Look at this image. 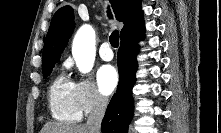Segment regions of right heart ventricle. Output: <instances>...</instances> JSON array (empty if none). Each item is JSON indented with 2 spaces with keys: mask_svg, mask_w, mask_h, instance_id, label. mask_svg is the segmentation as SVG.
<instances>
[{
  "mask_svg": "<svg viewBox=\"0 0 221 133\" xmlns=\"http://www.w3.org/2000/svg\"><path fill=\"white\" fill-rule=\"evenodd\" d=\"M48 103L52 117L63 123L78 122L82 117L75 83L63 75L57 76L48 90Z\"/></svg>",
  "mask_w": 221,
  "mask_h": 133,
  "instance_id": "1",
  "label": "right heart ventricle"
}]
</instances>
